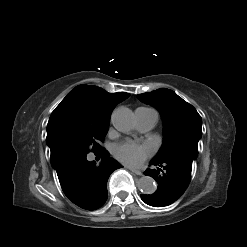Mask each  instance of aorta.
Wrapping results in <instances>:
<instances>
[{
	"instance_id": "762f6f07",
	"label": "aorta",
	"mask_w": 247,
	"mask_h": 247,
	"mask_svg": "<svg viewBox=\"0 0 247 247\" xmlns=\"http://www.w3.org/2000/svg\"><path fill=\"white\" fill-rule=\"evenodd\" d=\"M113 126L120 132L127 133L134 128L135 117L127 107L117 108L111 117ZM138 189L144 194H153L156 191V183L152 177L143 176L137 182Z\"/></svg>"
}]
</instances>
